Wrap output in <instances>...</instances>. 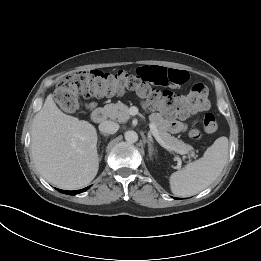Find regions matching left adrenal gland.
Returning a JSON list of instances; mask_svg holds the SVG:
<instances>
[{
    "label": "left adrenal gland",
    "instance_id": "left-adrenal-gland-1",
    "mask_svg": "<svg viewBox=\"0 0 261 261\" xmlns=\"http://www.w3.org/2000/svg\"><path fill=\"white\" fill-rule=\"evenodd\" d=\"M146 142L148 143V154H149V157L151 158L152 155L155 154V149L148 139L146 140Z\"/></svg>",
    "mask_w": 261,
    "mask_h": 261
}]
</instances>
